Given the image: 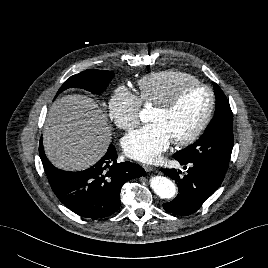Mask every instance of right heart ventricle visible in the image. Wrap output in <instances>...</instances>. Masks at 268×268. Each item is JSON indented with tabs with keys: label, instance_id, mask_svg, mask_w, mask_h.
Returning a JSON list of instances; mask_svg holds the SVG:
<instances>
[{
	"label": "right heart ventricle",
	"instance_id": "obj_1",
	"mask_svg": "<svg viewBox=\"0 0 268 268\" xmlns=\"http://www.w3.org/2000/svg\"><path fill=\"white\" fill-rule=\"evenodd\" d=\"M197 78L178 69H165L149 73L137 81L141 102L156 106L170 98L181 85Z\"/></svg>",
	"mask_w": 268,
	"mask_h": 268
}]
</instances>
